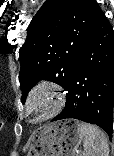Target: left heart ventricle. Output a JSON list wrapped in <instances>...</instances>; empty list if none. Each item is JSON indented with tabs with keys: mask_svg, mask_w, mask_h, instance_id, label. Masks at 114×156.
Wrapping results in <instances>:
<instances>
[{
	"mask_svg": "<svg viewBox=\"0 0 114 156\" xmlns=\"http://www.w3.org/2000/svg\"><path fill=\"white\" fill-rule=\"evenodd\" d=\"M49 107V101L45 94H40L34 102V112L39 114L44 112Z\"/></svg>",
	"mask_w": 114,
	"mask_h": 156,
	"instance_id": "b2bd125f",
	"label": "left heart ventricle"
}]
</instances>
